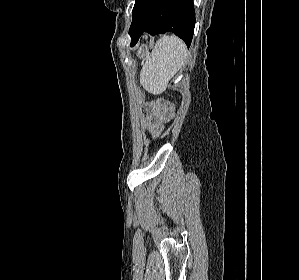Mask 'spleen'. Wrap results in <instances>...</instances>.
<instances>
[{
	"instance_id": "spleen-1",
	"label": "spleen",
	"mask_w": 299,
	"mask_h": 280,
	"mask_svg": "<svg viewBox=\"0 0 299 280\" xmlns=\"http://www.w3.org/2000/svg\"><path fill=\"white\" fill-rule=\"evenodd\" d=\"M187 47L176 36H163L154 46L140 72V83L154 95L163 93L169 80L185 63Z\"/></svg>"
}]
</instances>
